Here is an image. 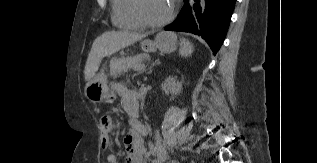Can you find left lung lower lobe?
<instances>
[{
    "mask_svg": "<svg viewBox=\"0 0 317 163\" xmlns=\"http://www.w3.org/2000/svg\"><path fill=\"white\" fill-rule=\"evenodd\" d=\"M177 19L165 30L191 32L205 39L214 55L228 30L236 0H184Z\"/></svg>",
    "mask_w": 317,
    "mask_h": 163,
    "instance_id": "0a47b994",
    "label": "left lung lower lobe"
}]
</instances>
